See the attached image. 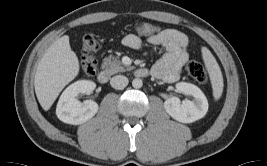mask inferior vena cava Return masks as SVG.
I'll list each match as a JSON object with an SVG mask.
<instances>
[{
  "label": "inferior vena cava",
  "instance_id": "inferior-vena-cava-1",
  "mask_svg": "<svg viewBox=\"0 0 267 166\" xmlns=\"http://www.w3.org/2000/svg\"><path fill=\"white\" fill-rule=\"evenodd\" d=\"M128 78L123 75H116L111 78L110 84L115 89H123L128 85Z\"/></svg>",
  "mask_w": 267,
  "mask_h": 166
}]
</instances>
